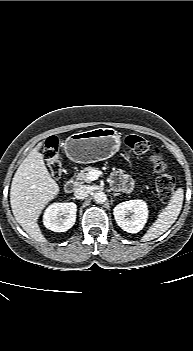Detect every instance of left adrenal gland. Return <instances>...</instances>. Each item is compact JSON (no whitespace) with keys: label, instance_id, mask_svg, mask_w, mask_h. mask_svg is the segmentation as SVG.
I'll return each instance as SVG.
<instances>
[{"label":"left adrenal gland","instance_id":"a2214340","mask_svg":"<svg viewBox=\"0 0 193 351\" xmlns=\"http://www.w3.org/2000/svg\"><path fill=\"white\" fill-rule=\"evenodd\" d=\"M120 193H113V196L116 197V196H119Z\"/></svg>","mask_w":193,"mask_h":351}]
</instances>
